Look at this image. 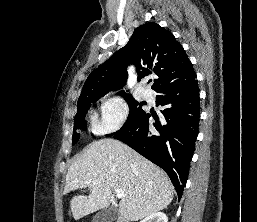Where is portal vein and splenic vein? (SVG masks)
Segmentation results:
<instances>
[{"label": "portal vein and splenic vein", "mask_w": 257, "mask_h": 222, "mask_svg": "<svg viewBox=\"0 0 257 222\" xmlns=\"http://www.w3.org/2000/svg\"><path fill=\"white\" fill-rule=\"evenodd\" d=\"M92 184H95V181H92ZM114 191L116 192L117 198H122L124 196V192L122 190L114 188Z\"/></svg>", "instance_id": "obj_1"}]
</instances>
